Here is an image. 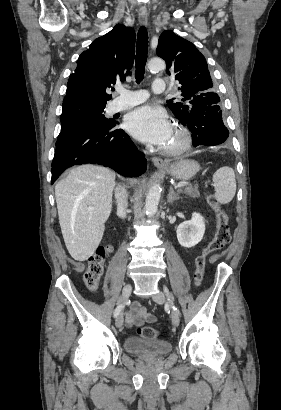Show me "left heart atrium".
<instances>
[{"label": "left heart atrium", "mask_w": 281, "mask_h": 410, "mask_svg": "<svg viewBox=\"0 0 281 410\" xmlns=\"http://www.w3.org/2000/svg\"><path fill=\"white\" fill-rule=\"evenodd\" d=\"M126 128L138 140L158 146L166 144L173 131L166 112L153 106H144L130 113Z\"/></svg>", "instance_id": "left-heart-atrium-1"}]
</instances>
